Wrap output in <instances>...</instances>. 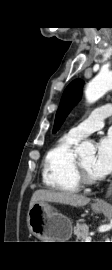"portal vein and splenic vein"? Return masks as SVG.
Wrapping results in <instances>:
<instances>
[{
    "label": "portal vein and splenic vein",
    "instance_id": "obj_1",
    "mask_svg": "<svg viewBox=\"0 0 112 270\" xmlns=\"http://www.w3.org/2000/svg\"><path fill=\"white\" fill-rule=\"evenodd\" d=\"M92 238L91 236L86 237L85 242H91Z\"/></svg>",
    "mask_w": 112,
    "mask_h": 270
}]
</instances>
